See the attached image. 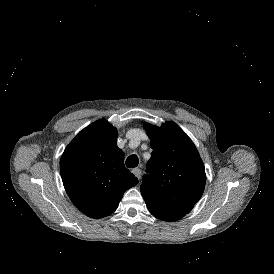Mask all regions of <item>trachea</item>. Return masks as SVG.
Wrapping results in <instances>:
<instances>
[{"instance_id":"trachea-1","label":"trachea","mask_w":274,"mask_h":274,"mask_svg":"<svg viewBox=\"0 0 274 274\" xmlns=\"http://www.w3.org/2000/svg\"><path fill=\"white\" fill-rule=\"evenodd\" d=\"M139 164V159L136 155H131L126 159V167L135 168Z\"/></svg>"}]
</instances>
